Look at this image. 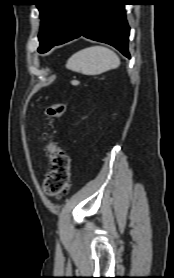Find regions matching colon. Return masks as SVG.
Returning a JSON list of instances; mask_svg holds the SVG:
<instances>
[{"label":"colon","mask_w":174,"mask_h":278,"mask_svg":"<svg viewBox=\"0 0 174 278\" xmlns=\"http://www.w3.org/2000/svg\"><path fill=\"white\" fill-rule=\"evenodd\" d=\"M66 107L62 103L51 104L46 108L49 118H58L65 113ZM50 168L44 180V191L52 197L65 195L70 187L71 159L56 141L50 140L47 144Z\"/></svg>","instance_id":"obj_1"}]
</instances>
